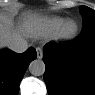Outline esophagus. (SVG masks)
I'll use <instances>...</instances> for the list:
<instances>
[{"instance_id": "34e87169", "label": "esophagus", "mask_w": 95, "mask_h": 95, "mask_svg": "<svg viewBox=\"0 0 95 95\" xmlns=\"http://www.w3.org/2000/svg\"><path fill=\"white\" fill-rule=\"evenodd\" d=\"M36 51H37V58H38V59H42V58H43V51H42V48H41V47H37V48H36Z\"/></svg>"}]
</instances>
